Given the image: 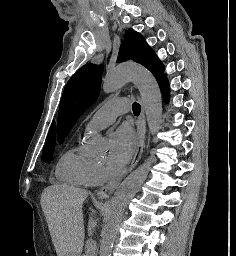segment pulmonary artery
I'll return each instance as SVG.
<instances>
[{"mask_svg": "<svg viewBox=\"0 0 236 256\" xmlns=\"http://www.w3.org/2000/svg\"><path fill=\"white\" fill-rule=\"evenodd\" d=\"M127 101H106V106L101 107L85 124V130L100 131L111 125L118 115L127 114Z\"/></svg>", "mask_w": 236, "mask_h": 256, "instance_id": "e3ab8cb5", "label": "pulmonary artery"}]
</instances>
